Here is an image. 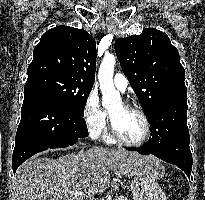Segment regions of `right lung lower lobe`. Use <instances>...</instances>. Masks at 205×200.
Masks as SVG:
<instances>
[{
    "mask_svg": "<svg viewBox=\"0 0 205 200\" xmlns=\"http://www.w3.org/2000/svg\"><path fill=\"white\" fill-rule=\"evenodd\" d=\"M24 92L12 159L14 173L34 154L48 148L68 147L88 135L83 116L67 108L55 96L34 88Z\"/></svg>",
    "mask_w": 205,
    "mask_h": 200,
    "instance_id": "obj_1",
    "label": "right lung lower lobe"
}]
</instances>
